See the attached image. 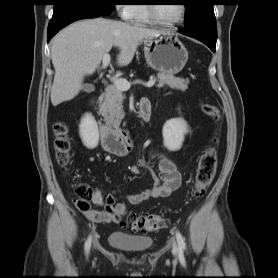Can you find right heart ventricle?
Listing matches in <instances>:
<instances>
[{"label": "right heart ventricle", "mask_w": 278, "mask_h": 278, "mask_svg": "<svg viewBox=\"0 0 278 278\" xmlns=\"http://www.w3.org/2000/svg\"><path fill=\"white\" fill-rule=\"evenodd\" d=\"M130 20L138 24H150L151 21L147 14L146 5L144 4L133 5V11Z\"/></svg>", "instance_id": "1"}]
</instances>
